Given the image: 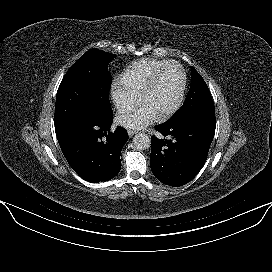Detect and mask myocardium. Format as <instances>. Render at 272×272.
Wrapping results in <instances>:
<instances>
[{"instance_id": "myocardium-1", "label": "myocardium", "mask_w": 272, "mask_h": 272, "mask_svg": "<svg viewBox=\"0 0 272 272\" xmlns=\"http://www.w3.org/2000/svg\"><path fill=\"white\" fill-rule=\"evenodd\" d=\"M171 66H176L181 71V74H182L181 87L179 90V95L177 97V100L173 104V106H171L169 109H167L166 111H164L158 115V118L160 120H164V119H167L168 117L172 116L174 113H176L179 110V108L181 107V105L183 103L185 91H186V87H187V75H186V72H185L183 66L177 62H174V61H170V62L166 63L163 67H161L156 72V74L153 76V78L150 80V82L144 87V89L140 93V101L143 102L144 99L147 97V95L157 86L163 73Z\"/></svg>"}]
</instances>
